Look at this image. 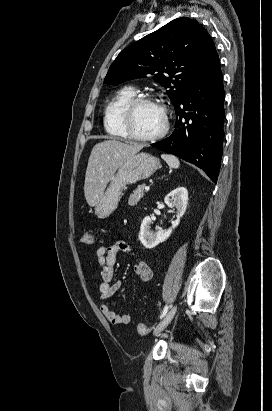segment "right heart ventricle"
I'll list each match as a JSON object with an SVG mask.
<instances>
[{"mask_svg":"<svg viewBox=\"0 0 272 411\" xmlns=\"http://www.w3.org/2000/svg\"><path fill=\"white\" fill-rule=\"evenodd\" d=\"M136 95L133 87L126 86L121 88L104 109V128L106 132L117 138L125 139L127 134L122 125V110L127 102Z\"/></svg>","mask_w":272,"mask_h":411,"instance_id":"1","label":"right heart ventricle"}]
</instances>
